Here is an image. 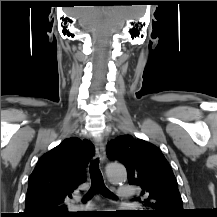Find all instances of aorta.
Listing matches in <instances>:
<instances>
[{
    "mask_svg": "<svg viewBox=\"0 0 217 217\" xmlns=\"http://www.w3.org/2000/svg\"><path fill=\"white\" fill-rule=\"evenodd\" d=\"M106 174L109 181L112 183L124 182L127 178L126 169L123 165L117 163L108 164Z\"/></svg>",
    "mask_w": 217,
    "mask_h": 217,
    "instance_id": "762f6f07",
    "label": "aorta"
}]
</instances>
